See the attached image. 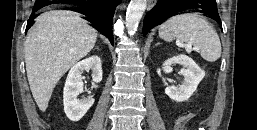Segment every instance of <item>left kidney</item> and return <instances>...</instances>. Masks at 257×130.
Returning a JSON list of instances; mask_svg holds the SVG:
<instances>
[{
    "label": "left kidney",
    "mask_w": 257,
    "mask_h": 130,
    "mask_svg": "<svg viewBox=\"0 0 257 130\" xmlns=\"http://www.w3.org/2000/svg\"><path fill=\"white\" fill-rule=\"evenodd\" d=\"M173 64L184 67L181 74L184 80L179 87L174 85L165 88V94L176 102L188 100L197 89L198 84L204 78L205 72L191 58L186 55H179L166 60L162 69L165 73L172 72Z\"/></svg>",
    "instance_id": "left-kidney-1"
}]
</instances>
